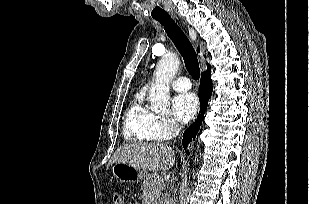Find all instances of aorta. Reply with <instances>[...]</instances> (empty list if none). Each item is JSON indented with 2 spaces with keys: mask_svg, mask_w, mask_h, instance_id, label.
<instances>
[{
  "mask_svg": "<svg viewBox=\"0 0 309 204\" xmlns=\"http://www.w3.org/2000/svg\"><path fill=\"white\" fill-rule=\"evenodd\" d=\"M180 60L174 53L165 54L155 70V83L149 90L150 108L158 113L169 111L170 84L174 79Z\"/></svg>",
  "mask_w": 309,
  "mask_h": 204,
  "instance_id": "aorta-1",
  "label": "aorta"
}]
</instances>
